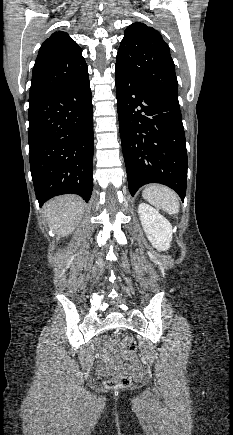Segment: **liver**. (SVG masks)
I'll return each mask as SVG.
<instances>
[{
  "label": "liver",
  "instance_id": "liver-1",
  "mask_svg": "<svg viewBox=\"0 0 233 435\" xmlns=\"http://www.w3.org/2000/svg\"><path fill=\"white\" fill-rule=\"evenodd\" d=\"M84 201L76 195H63L49 200L43 207L49 227L58 236H67L80 223Z\"/></svg>",
  "mask_w": 233,
  "mask_h": 435
}]
</instances>
